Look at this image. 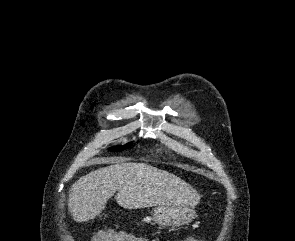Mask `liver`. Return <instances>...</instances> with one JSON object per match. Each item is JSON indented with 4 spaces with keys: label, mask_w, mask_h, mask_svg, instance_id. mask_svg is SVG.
Listing matches in <instances>:
<instances>
[{
    "label": "liver",
    "mask_w": 295,
    "mask_h": 241,
    "mask_svg": "<svg viewBox=\"0 0 295 241\" xmlns=\"http://www.w3.org/2000/svg\"><path fill=\"white\" fill-rule=\"evenodd\" d=\"M115 196L126 209L150 206L195 207L201 196L187 182L145 163L116 162L77 180L69 190L68 208L74 221L86 222Z\"/></svg>",
    "instance_id": "obj_1"
}]
</instances>
